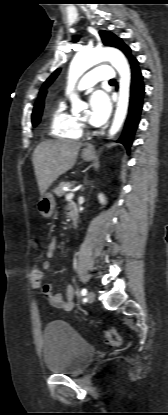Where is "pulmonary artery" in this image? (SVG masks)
I'll return each instance as SVG.
<instances>
[{
    "instance_id": "1",
    "label": "pulmonary artery",
    "mask_w": 168,
    "mask_h": 415,
    "mask_svg": "<svg viewBox=\"0 0 168 415\" xmlns=\"http://www.w3.org/2000/svg\"><path fill=\"white\" fill-rule=\"evenodd\" d=\"M114 76L115 73L111 66H98L82 77V79L78 83L77 89L84 90L92 87L99 81H110L114 78Z\"/></svg>"
}]
</instances>
